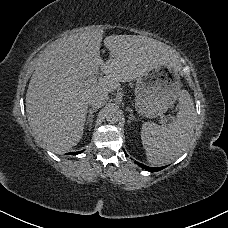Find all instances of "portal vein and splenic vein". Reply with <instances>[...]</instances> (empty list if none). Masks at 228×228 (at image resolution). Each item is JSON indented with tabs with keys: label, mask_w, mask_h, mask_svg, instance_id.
Here are the masks:
<instances>
[{
	"label": "portal vein and splenic vein",
	"mask_w": 228,
	"mask_h": 228,
	"mask_svg": "<svg viewBox=\"0 0 228 228\" xmlns=\"http://www.w3.org/2000/svg\"><path fill=\"white\" fill-rule=\"evenodd\" d=\"M97 79V75H92V76H89L87 77L86 81L89 82V83H92V82H95ZM174 120L173 117H171V121ZM167 122L163 121L162 124L165 125Z\"/></svg>",
	"instance_id": "18ae733b"
}]
</instances>
